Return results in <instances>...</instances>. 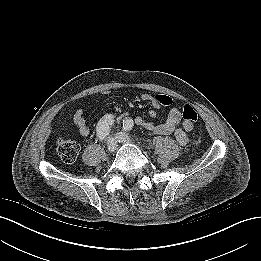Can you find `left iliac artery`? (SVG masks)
<instances>
[{
    "mask_svg": "<svg viewBox=\"0 0 261 261\" xmlns=\"http://www.w3.org/2000/svg\"><path fill=\"white\" fill-rule=\"evenodd\" d=\"M133 120H131V119H125V120H123V122H122V126H123V129L125 130V131H130V130H132V128H133Z\"/></svg>",
    "mask_w": 261,
    "mask_h": 261,
    "instance_id": "left-iliac-artery-1",
    "label": "left iliac artery"
}]
</instances>
